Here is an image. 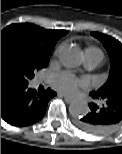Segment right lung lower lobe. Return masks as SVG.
<instances>
[{
	"label": "right lung lower lobe",
	"instance_id": "right-lung-lower-lobe-1",
	"mask_svg": "<svg viewBox=\"0 0 122 154\" xmlns=\"http://www.w3.org/2000/svg\"><path fill=\"white\" fill-rule=\"evenodd\" d=\"M55 95L50 88L37 93L28 85L1 86V118L12 126L32 125L43 118L49 100Z\"/></svg>",
	"mask_w": 122,
	"mask_h": 154
}]
</instances>
